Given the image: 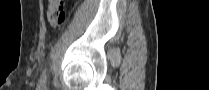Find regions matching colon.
<instances>
[{
	"instance_id": "colon-1",
	"label": "colon",
	"mask_w": 209,
	"mask_h": 90,
	"mask_svg": "<svg viewBox=\"0 0 209 90\" xmlns=\"http://www.w3.org/2000/svg\"><path fill=\"white\" fill-rule=\"evenodd\" d=\"M47 19L49 24L58 28L66 21L65 2L62 0H52L47 8Z\"/></svg>"
}]
</instances>
